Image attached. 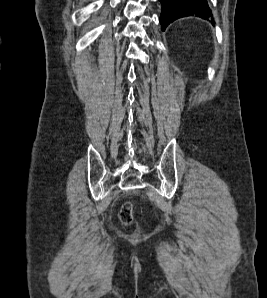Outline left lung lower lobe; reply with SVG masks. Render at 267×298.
Listing matches in <instances>:
<instances>
[{"instance_id": "0a47b994", "label": "left lung lower lobe", "mask_w": 267, "mask_h": 298, "mask_svg": "<svg viewBox=\"0 0 267 298\" xmlns=\"http://www.w3.org/2000/svg\"><path fill=\"white\" fill-rule=\"evenodd\" d=\"M162 4L160 23L164 31L166 26L181 17L197 15L203 19L212 16L207 0H159Z\"/></svg>"}]
</instances>
